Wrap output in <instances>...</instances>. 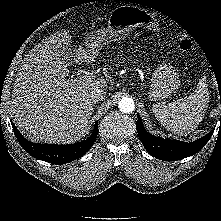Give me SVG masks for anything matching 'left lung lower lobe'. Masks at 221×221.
Instances as JSON below:
<instances>
[{"instance_id": "0a47b994", "label": "left lung lower lobe", "mask_w": 221, "mask_h": 221, "mask_svg": "<svg viewBox=\"0 0 221 221\" xmlns=\"http://www.w3.org/2000/svg\"><path fill=\"white\" fill-rule=\"evenodd\" d=\"M136 129L146 150L154 157L164 161H176L197 153L209 141L213 131L193 142L163 139L147 132L139 115Z\"/></svg>"}]
</instances>
